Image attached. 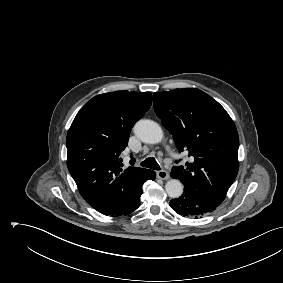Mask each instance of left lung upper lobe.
Wrapping results in <instances>:
<instances>
[{
  "instance_id": "left-lung-upper-lobe-1",
  "label": "left lung upper lobe",
  "mask_w": 283,
  "mask_h": 283,
  "mask_svg": "<svg viewBox=\"0 0 283 283\" xmlns=\"http://www.w3.org/2000/svg\"><path fill=\"white\" fill-rule=\"evenodd\" d=\"M154 110L179 152L192 157L186 167L174 166L171 177L220 205L239 169V137L229 114L197 88L154 93Z\"/></svg>"
}]
</instances>
